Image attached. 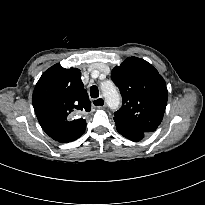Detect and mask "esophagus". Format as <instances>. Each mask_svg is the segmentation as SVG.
Instances as JSON below:
<instances>
[{"mask_svg":"<svg viewBox=\"0 0 205 205\" xmlns=\"http://www.w3.org/2000/svg\"><path fill=\"white\" fill-rule=\"evenodd\" d=\"M93 107L101 108L105 106V100L103 97L96 98L92 101Z\"/></svg>","mask_w":205,"mask_h":205,"instance_id":"34e87169","label":"esophagus"}]
</instances>
